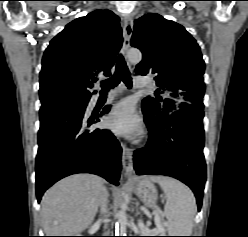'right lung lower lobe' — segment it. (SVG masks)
Returning <instances> with one entry per match:
<instances>
[{"mask_svg": "<svg viewBox=\"0 0 248 237\" xmlns=\"http://www.w3.org/2000/svg\"><path fill=\"white\" fill-rule=\"evenodd\" d=\"M109 109L106 106L104 111ZM85 110L86 106L41 107L36 156L38 202L51 185L75 173L97 174L118 185L120 144L109 130L88 129L100 120L97 115L86 121Z\"/></svg>", "mask_w": 248, "mask_h": 237, "instance_id": "1", "label": "right lung lower lobe"}]
</instances>
